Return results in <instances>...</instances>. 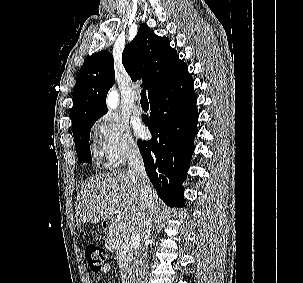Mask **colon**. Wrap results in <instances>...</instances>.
Segmentation results:
<instances>
[{
  "mask_svg": "<svg viewBox=\"0 0 303 283\" xmlns=\"http://www.w3.org/2000/svg\"><path fill=\"white\" fill-rule=\"evenodd\" d=\"M108 247L98 243H88L84 247V257L92 272H101L109 258Z\"/></svg>",
  "mask_w": 303,
  "mask_h": 283,
  "instance_id": "5ec220e1",
  "label": "colon"
}]
</instances>
